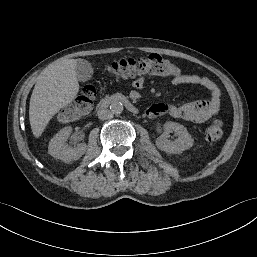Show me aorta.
Masks as SVG:
<instances>
[{"label": "aorta", "instance_id": "aorta-1", "mask_svg": "<svg viewBox=\"0 0 257 257\" xmlns=\"http://www.w3.org/2000/svg\"><path fill=\"white\" fill-rule=\"evenodd\" d=\"M110 110L115 115L120 114L123 111V104L115 101L110 105Z\"/></svg>", "mask_w": 257, "mask_h": 257}]
</instances>
